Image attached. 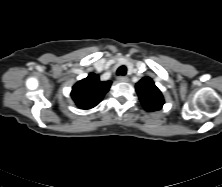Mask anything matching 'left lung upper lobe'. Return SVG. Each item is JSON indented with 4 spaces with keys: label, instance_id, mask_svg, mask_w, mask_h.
Wrapping results in <instances>:
<instances>
[{
    "label": "left lung upper lobe",
    "instance_id": "obj_1",
    "mask_svg": "<svg viewBox=\"0 0 222 187\" xmlns=\"http://www.w3.org/2000/svg\"><path fill=\"white\" fill-rule=\"evenodd\" d=\"M135 88L143 107L147 111L152 112L162 108L164 104L163 95L151 78L141 79Z\"/></svg>",
    "mask_w": 222,
    "mask_h": 187
}]
</instances>
